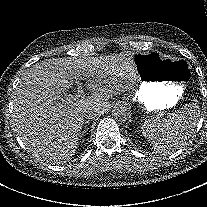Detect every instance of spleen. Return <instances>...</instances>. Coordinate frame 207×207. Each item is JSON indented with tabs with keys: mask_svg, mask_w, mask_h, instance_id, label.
<instances>
[{
	"mask_svg": "<svg viewBox=\"0 0 207 207\" xmlns=\"http://www.w3.org/2000/svg\"><path fill=\"white\" fill-rule=\"evenodd\" d=\"M200 115L201 110L198 106L188 104L173 112L171 116L144 122L141 131L151 145L165 149L189 138Z\"/></svg>",
	"mask_w": 207,
	"mask_h": 207,
	"instance_id": "3e777b00",
	"label": "spleen"
}]
</instances>
